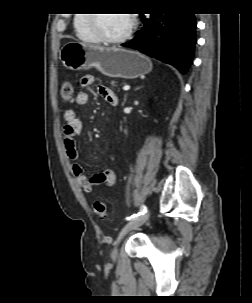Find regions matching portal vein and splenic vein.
I'll return each mask as SVG.
<instances>
[{
    "label": "portal vein and splenic vein",
    "instance_id": "18ae733b",
    "mask_svg": "<svg viewBox=\"0 0 252 303\" xmlns=\"http://www.w3.org/2000/svg\"><path fill=\"white\" fill-rule=\"evenodd\" d=\"M130 89V86H128V85H125L124 87H123V90L124 91H128Z\"/></svg>",
    "mask_w": 252,
    "mask_h": 303
}]
</instances>
